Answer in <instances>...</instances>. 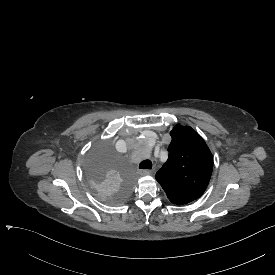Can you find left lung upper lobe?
I'll return each mask as SVG.
<instances>
[{
  "label": "left lung upper lobe",
  "mask_w": 275,
  "mask_h": 275,
  "mask_svg": "<svg viewBox=\"0 0 275 275\" xmlns=\"http://www.w3.org/2000/svg\"><path fill=\"white\" fill-rule=\"evenodd\" d=\"M170 135L168 160L156 173V180L172 203L184 205L204 193L211 177L213 157L205 141L191 127L177 124Z\"/></svg>",
  "instance_id": "1"
}]
</instances>
